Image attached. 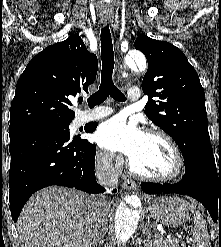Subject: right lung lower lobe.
I'll list each match as a JSON object with an SVG mask.
<instances>
[{"label": "right lung lower lobe", "instance_id": "obj_1", "mask_svg": "<svg viewBox=\"0 0 221 247\" xmlns=\"http://www.w3.org/2000/svg\"><path fill=\"white\" fill-rule=\"evenodd\" d=\"M88 128L87 132H93ZM11 155L9 187L12 219L17 221L30 196L50 185L67 186L87 193H103L96 182V146L43 127L9 128ZM116 192V189L113 190Z\"/></svg>", "mask_w": 221, "mask_h": 247}]
</instances>
